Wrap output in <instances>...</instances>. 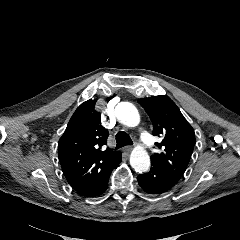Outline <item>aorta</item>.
<instances>
[{"instance_id":"aorta-1","label":"aorta","mask_w":240,"mask_h":240,"mask_svg":"<svg viewBox=\"0 0 240 240\" xmlns=\"http://www.w3.org/2000/svg\"><path fill=\"white\" fill-rule=\"evenodd\" d=\"M118 121L128 127H135L140 122L137 108L129 102H121L115 108ZM130 165L136 172H146L150 167V157L147 151L136 147L130 155Z\"/></svg>"}]
</instances>
